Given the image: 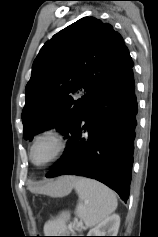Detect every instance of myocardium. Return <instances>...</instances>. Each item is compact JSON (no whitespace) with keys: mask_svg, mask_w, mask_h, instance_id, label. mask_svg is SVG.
Returning a JSON list of instances; mask_svg holds the SVG:
<instances>
[{"mask_svg":"<svg viewBox=\"0 0 158 237\" xmlns=\"http://www.w3.org/2000/svg\"><path fill=\"white\" fill-rule=\"evenodd\" d=\"M44 138L53 139L57 144V148L54 154L47 161L43 163H36L33 159V151L36 144ZM66 149H67V139L62 134V132L56 129H47L37 134L35 138L33 139L32 144L30 146V150H29V159L34 166L45 167L55 162L56 160H58L64 154Z\"/></svg>","mask_w":158,"mask_h":237,"instance_id":"1","label":"myocardium"}]
</instances>
